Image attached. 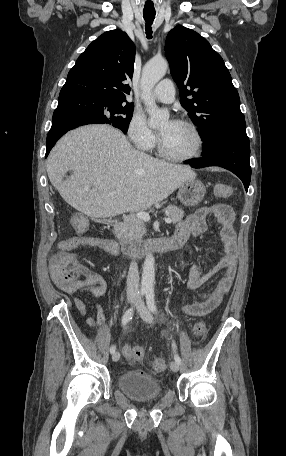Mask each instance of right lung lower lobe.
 I'll return each instance as SVG.
<instances>
[{
    "mask_svg": "<svg viewBox=\"0 0 286 456\" xmlns=\"http://www.w3.org/2000/svg\"><path fill=\"white\" fill-rule=\"evenodd\" d=\"M92 101V95L77 89H61L59 103L53 113L52 127L47 135L46 155L67 131L82 125V109Z\"/></svg>",
    "mask_w": 286,
    "mask_h": 456,
    "instance_id": "98d812e1",
    "label": "right lung lower lobe"
}]
</instances>
